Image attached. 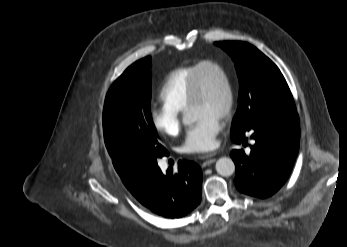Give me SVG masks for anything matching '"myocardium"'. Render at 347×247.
Masks as SVG:
<instances>
[{"instance_id": "obj_1", "label": "myocardium", "mask_w": 347, "mask_h": 247, "mask_svg": "<svg viewBox=\"0 0 347 247\" xmlns=\"http://www.w3.org/2000/svg\"><path fill=\"white\" fill-rule=\"evenodd\" d=\"M205 68L216 69L223 77L227 91L226 106L222 114L223 119H227L232 114L235 105V90L232 77L227 68L220 62L215 60H202L198 62L189 89L187 109L198 103L202 95L201 72Z\"/></svg>"}]
</instances>
